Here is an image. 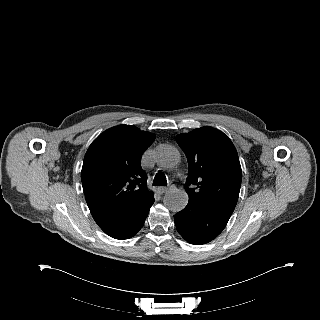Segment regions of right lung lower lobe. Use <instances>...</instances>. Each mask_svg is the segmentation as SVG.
Wrapping results in <instances>:
<instances>
[{
    "instance_id": "98d812e1",
    "label": "right lung lower lobe",
    "mask_w": 320,
    "mask_h": 320,
    "mask_svg": "<svg viewBox=\"0 0 320 320\" xmlns=\"http://www.w3.org/2000/svg\"><path fill=\"white\" fill-rule=\"evenodd\" d=\"M153 203L154 200L134 212L111 220H106L98 225L107 235L115 239L131 238L144 225L145 219Z\"/></svg>"
}]
</instances>
